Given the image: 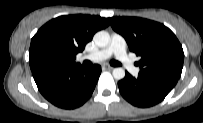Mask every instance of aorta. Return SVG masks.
Listing matches in <instances>:
<instances>
[{"label":"aorta","mask_w":203,"mask_h":123,"mask_svg":"<svg viewBox=\"0 0 203 123\" xmlns=\"http://www.w3.org/2000/svg\"><path fill=\"white\" fill-rule=\"evenodd\" d=\"M93 40L98 47H106L110 42V35L107 31H98L95 33ZM113 77L116 80H121L125 77V70L121 67H117L113 69L112 72Z\"/></svg>","instance_id":"1"}]
</instances>
